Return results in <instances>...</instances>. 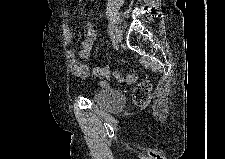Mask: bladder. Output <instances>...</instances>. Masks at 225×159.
Masks as SVG:
<instances>
[{"label":"bladder","instance_id":"bladder-1","mask_svg":"<svg viewBox=\"0 0 225 159\" xmlns=\"http://www.w3.org/2000/svg\"><path fill=\"white\" fill-rule=\"evenodd\" d=\"M93 101L98 107L108 112L119 111L123 109L125 105V99L123 95L110 87L98 89L94 94Z\"/></svg>","mask_w":225,"mask_h":159}]
</instances>
